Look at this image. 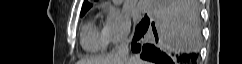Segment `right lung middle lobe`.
Instances as JSON below:
<instances>
[{"mask_svg":"<svg viewBox=\"0 0 242 64\" xmlns=\"http://www.w3.org/2000/svg\"><path fill=\"white\" fill-rule=\"evenodd\" d=\"M86 12H81V16H83ZM149 22V19L147 17H145L140 23L139 25H137L136 31L142 29L143 27H145Z\"/></svg>","mask_w":242,"mask_h":64,"instance_id":"1","label":"right lung middle lobe"}]
</instances>
